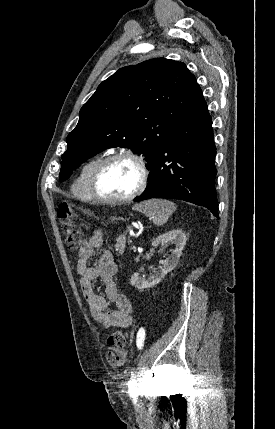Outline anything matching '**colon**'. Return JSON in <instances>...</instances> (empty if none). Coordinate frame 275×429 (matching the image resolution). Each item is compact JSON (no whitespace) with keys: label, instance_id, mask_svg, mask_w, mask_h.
<instances>
[{"label":"colon","instance_id":"1","mask_svg":"<svg viewBox=\"0 0 275 429\" xmlns=\"http://www.w3.org/2000/svg\"><path fill=\"white\" fill-rule=\"evenodd\" d=\"M61 230L65 236L66 245L70 251L81 248L84 235L73 217V213L66 204H60L57 210ZM108 345L111 350L106 354V362L113 368L120 367L125 362L124 350L127 346V336L120 329H114L108 336Z\"/></svg>","mask_w":275,"mask_h":429}]
</instances>
